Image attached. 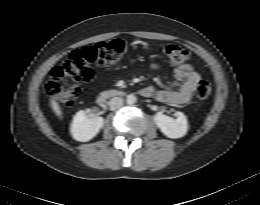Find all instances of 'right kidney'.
<instances>
[{
  "label": "right kidney",
  "instance_id": "right-kidney-1",
  "mask_svg": "<svg viewBox=\"0 0 260 205\" xmlns=\"http://www.w3.org/2000/svg\"><path fill=\"white\" fill-rule=\"evenodd\" d=\"M89 109L76 113L71 124L72 137L80 142H87L94 138L103 127L104 120L100 116L90 118Z\"/></svg>",
  "mask_w": 260,
  "mask_h": 205
}]
</instances>
